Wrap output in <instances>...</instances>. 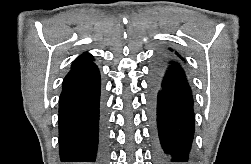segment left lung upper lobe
Segmentation results:
<instances>
[{"label": "left lung upper lobe", "instance_id": "obj_1", "mask_svg": "<svg viewBox=\"0 0 251 164\" xmlns=\"http://www.w3.org/2000/svg\"><path fill=\"white\" fill-rule=\"evenodd\" d=\"M170 51L173 52L172 49H170ZM174 54L183 60V58L177 52H174Z\"/></svg>", "mask_w": 251, "mask_h": 164}]
</instances>
